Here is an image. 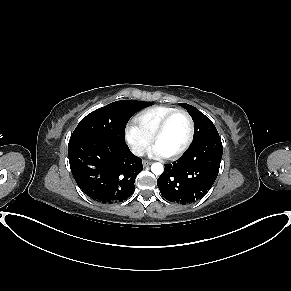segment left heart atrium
Returning <instances> with one entry per match:
<instances>
[{
  "label": "left heart atrium",
  "instance_id": "39dd6f15",
  "mask_svg": "<svg viewBox=\"0 0 291 291\" xmlns=\"http://www.w3.org/2000/svg\"><path fill=\"white\" fill-rule=\"evenodd\" d=\"M151 152L159 157H165L166 155L161 151L159 147L156 145L151 149Z\"/></svg>",
  "mask_w": 291,
  "mask_h": 291
}]
</instances>
